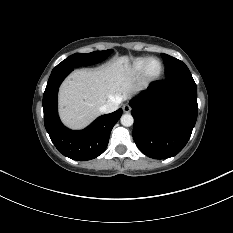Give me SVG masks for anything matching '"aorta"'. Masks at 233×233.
Segmentation results:
<instances>
[{"mask_svg":"<svg viewBox=\"0 0 233 233\" xmlns=\"http://www.w3.org/2000/svg\"><path fill=\"white\" fill-rule=\"evenodd\" d=\"M121 124L125 127L133 125L134 119L131 114H124L120 118Z\"/></svg>","mask_w":233,"mask_h":233,"instance_id":"762f6f07","label":"aorta"}]
</instances>
